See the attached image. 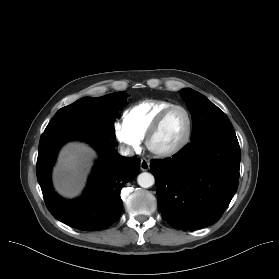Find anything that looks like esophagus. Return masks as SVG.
I'll use <instances>...</instances> for the list:
<instances>
[{
	"instance_id": "34e87169",
	"label": "esophagus",
	"mask_w": 279,
	"mask_h": 279,
	"mask_svg": "<svg viewBox=\"0 0 279 279\" xmlns=\"http://www.w3.org/2000/svg\"><path fill=\"white\" fill-rule=\"evenodd\" d=\"M150 168V163L147 159L143 158L140 162V169L142 171H147Z\"/></svg>"
}]
</instances>
